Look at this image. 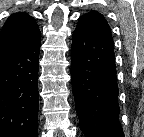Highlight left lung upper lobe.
<instances>
[{"label": "left lung upper lobe", "instance_id": "1", "mask_svg": "<svg viewBox=\"0 0 144 137\" xmlns=\"http://www.w3.org/2000/svg\"><path fill=\"white\" fill-rule=\"evenodd\" d=\"M79 21L87 23L98 30L109 31L111 33V28L105 17L97 11H90L86 13L79 18Z\"/></svg>", "mask_w": 144, "mask_h": 137}]
</instances>
